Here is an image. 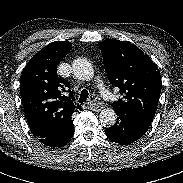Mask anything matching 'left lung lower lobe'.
I'll return each mask as SVG.
<instances>
[{
    "instance_id": "1",
    "label": "left lung lower lobe",
    "mask_w": 183,
    "mask_h": 183,
    "mask_svg": "<svg viewBox=\"0 0 183 183\" xmlns=\"http://www.w3.org/2000/svg\"><path fill=\"white\" fill-rule=\"evenodd\" d=\"M117 121L106 129L107 137L113 142L127 145L141 138L150 126V122L133 115L118 112Z\"/></svg>"
}]
</instances>
